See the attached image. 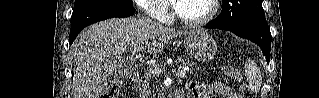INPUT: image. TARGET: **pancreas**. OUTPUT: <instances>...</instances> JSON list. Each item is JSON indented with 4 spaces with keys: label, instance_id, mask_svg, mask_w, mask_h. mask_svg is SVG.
Wrapping results in <instances>:
<instances>
[{
    "label": "pancreas",
    "instance_id": "cf45deb5",
    "mask_svg": "<svg viewBox=\"0 0 319 98\" xmlns=\"http://www.w3.org/2000/svg\"><path fill=\"white\" fill-rule=\"evenodd\" d=\"M179 62L182 64L186 65L189 67L190 72L197 70L199 67L196 65L195 62L190 61L189 59H183V58H178ZM158 66L162 73H163V66L161 65H156ZM160 75V74H159ZM159 75H154L150 71L146 72L144 74V81L141 84L139 82L138 85H136V90H139V96L140 98H149L151 93L155 90V80L157 79V76Z\"/></svg>",
    "mask_w": 319,
    "mask_h": 98
}]
</instances>
